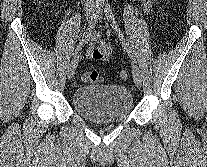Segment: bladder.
<instances>
[{
    "instance_id": "obj_1",
    "label": "bladder",
    "mask_w": 207,
    "mask_h": 167,
    "mask_svg": "<svg viewBox=\"0 0 207 167\" xmlns=\"http://www.w3.org/2000/svg\"><path fill=\"white\" fill-rule=\"evenodd\" d=\"M72 104L84 118L98 123L125 119L133 108V96L122 85H86L75 90Z\"/></svg>"
}]
</instances>
